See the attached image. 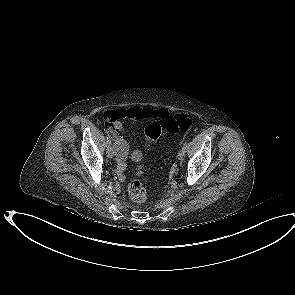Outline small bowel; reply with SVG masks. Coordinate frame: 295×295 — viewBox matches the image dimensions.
<instances>
[{
    "label": "small bowel",
    "instance_id": "small-bowel-1",
    "mask_svg": "<svg viewBox=\"0 0 295 295\" xmlns=\"http://www.w3.org/2000/svg\"><path fill=\"white\" fill-rule=\"evenodd\" d=\"M166 116H168L166 110L147 109L139 106L105 112L104 120L109 124L108 131L111 133L115 141L118 171L120 174H122L126 168V159L128 155V143L121 135V133L124 132L122 122L132 120H151L159 122ZM151 144L153 143H149L148 139H146V145L150 146ZM142 157L143 153L140 150H134L131 153V159L135 162L140 161Z\"/></svg>",
    "mask_w": 295,
    "mask_h": 295
}]
</instances>
